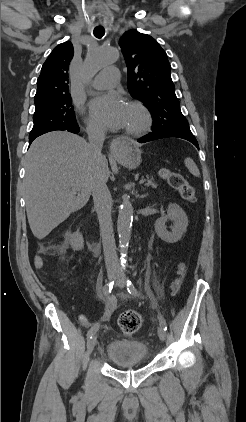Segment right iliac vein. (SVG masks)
Wrapping results in <instances>:
<instances>
[{"label":"right iliac vein","instance_id":"right-iliac-vein-1","mask_svg":"<svg viewBox=\"0 0 246 422\" xmlns=\"http://www.w3.org/2000/svg\"><path fill=\"white\" fill-rule=\"evenodd\" d=\"M108 278L109 280H113L116 278V274L114 272H110L108 273ZM96 344H97V337L94 335L92 336V338L88 340V343H87V350L89 354L93 351Z\"/></svg>","mask_w":246,"mask_h":422}]
</instances>
